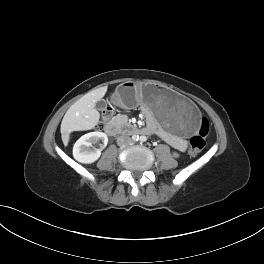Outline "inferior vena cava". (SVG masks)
Listing matches in <instances>:
<instances>
[{"label":"inferior vena cava","mask_w":264,"mask_h":264,"mask_svg":"<svg viewBox=\"0 0 264 264\" xmlns=\"http://www.w3.org/2000/svg\"><path fill=\"white\" fill-rule=\"evenodd\" d=\"M132 140L129 136H120L118 137L117 139V144L119 146H125V145H128V144H131Z\"/></svg>","instance_id":"602c4592"}]
</instances>
